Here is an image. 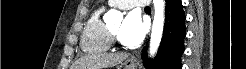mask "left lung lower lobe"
<instances>
[{"mask_svg":"<svg viewBox=\"0 0 246 69\" xmlns=\"http://www.w3.org/2000/svg\"><path fill=\"white\" fill-rule=\"evenodd\" d=\"M185 19L181 0H166L164 34L157 56L150 62L146 56V49L142 52L146 68L181 69L186 36Z\"/></svg>","mask_w":246,"mask_h":69,"instance_id":"left-lung-lower-lobe-1","label":"left lung lower lobe"}]
</instances>
